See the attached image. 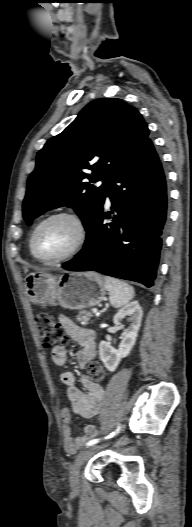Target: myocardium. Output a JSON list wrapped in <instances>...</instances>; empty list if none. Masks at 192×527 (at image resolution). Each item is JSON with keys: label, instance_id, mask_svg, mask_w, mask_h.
<instances>
[{"label": "myocardium", "instance_id": "f54148a6", "mask_svg": "<svg viewBox=\"0 0 192 527\" xmlns=\"http://www.w3.org/2000/svg\"><path fill=\"white\" fill-rule=\"evenodd\" d=\"M58 217L68 218L74 222V224L77 227V239L74 245L72 246V248L67 253L61 256L55 257V258H43L38 254L37 249H36V240H37L38 232L40 231L42 226L45 225L48 221L54 218H58ZM87 235H88V230H87L86 223L84 219L78 213L72 210L55 211L47 215L35 226L31 234V238H30V250H31L32 255L38 261L42 263H46V264L59 263V262L66 261L74 257L83 248L86 242V239H87Z\"/></svg>", "mask_w": 192, "mask_h": 527}]
</instances>
